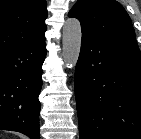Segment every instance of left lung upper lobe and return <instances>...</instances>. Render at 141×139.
<instances>
[{"label": "left lung upper lobe", "instance_id": "5c2ea615", "mask_svg": "<svg viewBox=\"0 0 141 139\" xmlns=\"http://www.w3.org/2000/svg\"><path fill=\"white\" fill-rule=\"evenodd\" d=\"M69 16L79 19L82 33L138 47L130 17L116 0H78Z\"/></svg>", "mask_w": 141, "mask_h": 139}]
</instances>
